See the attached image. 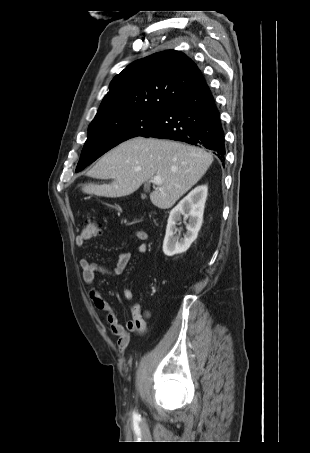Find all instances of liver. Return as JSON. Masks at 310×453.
Wrapping results in <instances>:
<instances>
[{
	"label": "liver",
	"instance_id": "6515ba94",
	"mask_svg": "<svg viewBox=\"0 0 310 453\" xmlns=\"http://www.w3.org/2000/svg\"><path fill=\"white\" fill-rule=\"evenodd\" d=\"M213 156L204 149L180 142L135 137L107 152L88 172L111 184H87L82 191L89 195L117 198L134 193L155 176L162 184L150 194L153 205L171 208L206 173Z\"/></svg>",
	"mask_w": 310,
	"mask_h": 453
}]
</instances>
